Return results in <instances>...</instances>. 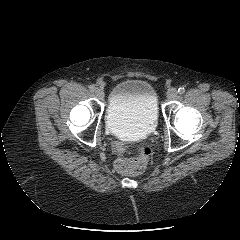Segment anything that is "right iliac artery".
<instances>
[{"label": "right iliac artery", "instance_id": "1", "mask_svg": "<svg viewBox=\"0 0 240 240\" xmlns=\"http://www.w3.org/2000/svg\"><path fill=\"white\" fill-rule=\"evenodd\" d=\"M89 89H90V91H92V92H93V91H95V90H96V87H95V85H90V86H89Z\"/></svg>", "mask_w": 240, "mask_h": 240}]
</instances>
